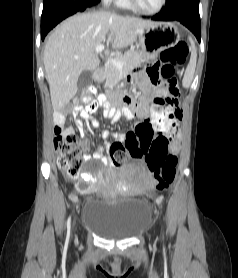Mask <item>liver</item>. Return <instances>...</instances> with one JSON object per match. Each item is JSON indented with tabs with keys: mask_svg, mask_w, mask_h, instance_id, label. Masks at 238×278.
<instances>
[{
	"mask_svg": "<svg viewBox=\"0 0 238 278\" xmlns=\"http://www.w3.org/2000/svg\"><path fill=\"white\" fill-rule=\"evenodd\" d=\"M151 24L105 11L77 14L62 22L44 49L45 76L54 111H60L75 96L83 71L98 68L97 45L111 41L113 49L126 48Z\"/></svg>",
	"mask_w": 238,
	"mask_h": 278,
	"instance_id": "liver-1",
	"label": "liver"
}]
</instances>
